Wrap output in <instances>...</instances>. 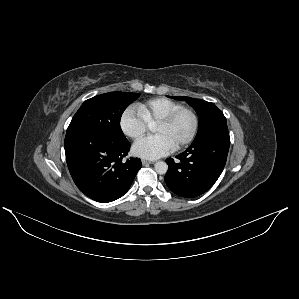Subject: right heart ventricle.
<instances>
[{"label": "right heart ventricle", "instance_id": "e07e8e85", "mask_svg": "<svg viewBox=\"0 0 299 299\" xmlns=\"http://www.w3.org/2000/svg\"><path fill=\"white\" fill-rule=\"evenodd\" d=\"M183 107L167 98H154L139 104L138 109L150 126H154L171 112Z\"/></svg>", "mask_w": 299, "mask_h": 299}]
</instances>
